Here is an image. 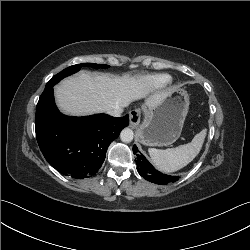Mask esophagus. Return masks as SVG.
Wrapping results in <instances>:
<instances>
[{"instance_id":"esophagus-1","label":"esophagus","mask_w":250,"mask_h":250,"mask_svg":"<svg viewBox=\"0 0 250 250\" xmlns=\"http://www.w3.org/2000/svg\"><path fill=\"white\" fill-rule=\"evenodd\" d=\"M129 120H130V126L132 128H136L141 120V110L140 109H134L130 111L129 113Z\"/></svg>"}]
</instances>
